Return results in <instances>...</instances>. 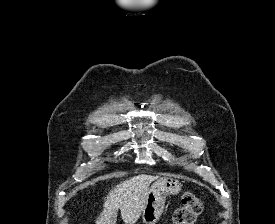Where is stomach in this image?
Returning a JSON list of instances; mask_svg holds the SVG:
<instances>
[{
    "label": "stomach",
    "mask_w": 275,
    "mask_h": 224,
    "mask_svg": "<svg viewBox=\"0 0 275 224\" xmlns=\"http://www.w3.org/2000/svg\"><path fill=\"white\" fill-rule=\"evenodd\" d=\"M181 191V183L173 177L157 179L150 187L146 205L142 211L144 224H155L165 208L168 195H176Z\"/></svg>",
    "instance_id": "stomach-1"
}]
</instances>
